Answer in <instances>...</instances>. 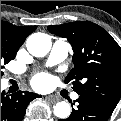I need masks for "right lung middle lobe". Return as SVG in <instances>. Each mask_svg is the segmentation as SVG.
I'll use <instances>...</instances> for the list:
<instances>
[{"label":"right lung middle lobe","instance_id":"1","mask_svg":"<svg viewBox=\"0 0 121 121\" xmlns=\"http://www.w3.org/2000/svg\"><path fill=\"white\" fill-rule=\"evenodd\" d=\"M21 45L20 42L15 41L8 34L1 33V76L3 75V65L15 58Z\"/></svg>","mask_w":121,"mask_h":121}]
</instances>
